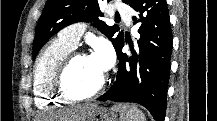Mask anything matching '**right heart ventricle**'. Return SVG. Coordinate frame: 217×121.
I'll return each instance as SVG.
<instances>
[{"instance_id": "1", "label": "right heart ventricle", "mask_w": 217, "mask_h": 121, "mask_svg": "<svg viewBox=\"0 0 217 121\" xmlns=\"http://www.w3.org/2000/svg\"><path fill=\"white\" fill-rule=\"evenodd\" d=\"M74 49L59 36L49 42L41 51L33 71V91L37 107L48 109L61 103L52 90V79L57 67Z\"/></svg>"}]
</instances>
